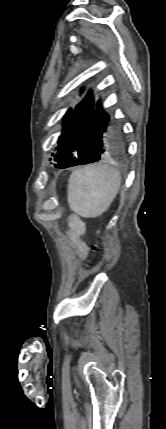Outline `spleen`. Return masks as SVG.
<instances>
[{
    "mask_svg": "<svg viewBox=\"0 0 166 429\" xmlns=\"http://www.w3.org/2000/svg\"><path fill=\"white\" fill-rule=\"evenodd\" d=\"M121 185L119 170L109 165H87L70 175L68 203L76 214L94 218L105 212Z\"/></svg>",
    "mask_w": 166,
    "mask_h": 429,
    "instance_id": "spleen-1",
    "label": "spleen"
}]
</instances>
